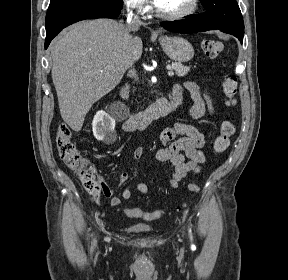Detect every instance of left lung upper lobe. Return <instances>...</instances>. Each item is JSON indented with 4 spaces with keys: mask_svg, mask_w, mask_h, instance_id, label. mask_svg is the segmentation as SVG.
I'll use <instances>...</instances> for the list:
<instances>
[{
    "mask_svg": "<svg viewBox=\"0 0 288 280\" xmlns=\"http://www.w3.org/2000/svg\"><path fill=\"white\" fill-rule=\"evenodd\" d=\"M209 20L227 27L239 34H244V22L236 0H200Z\"/></svg>",
    "mask_w": 288,
    "mask_h": 280,
    "instance_id": "1",
    "label": "left lung upper lobe"
}]
</instances>
